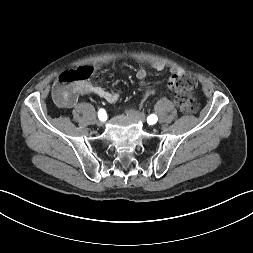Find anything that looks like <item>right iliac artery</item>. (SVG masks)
I'll list each match as a JSON object with an SVG mask.
<instances>
[{
  "label": "right iliac artery",
  "instance_id": "82829eb1",
  "mask_svg": "<svg viewBox=\"0 0 253 253\" xmlns=\"http://www.w3.org/2000/svg\"><path fill=\"white\" fill-rule=\"evenodd\" d=\"M98 118L102 121H105L107 119V114H106V111L104 109H100L98 111Z\"/></svg>",
  "mask_w": 253,
  "mask_h": 253
}]
</instances>
